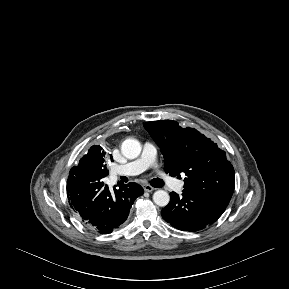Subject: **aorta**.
Returning <instances> with one entry per match:
<instances>
[{
	"label": "aorta",
	"mask_w": 289,
	"mask_h": 289,
	"mask_svg": "<svg viewBox=\"0 0 289 289\" xmlns=\"http://www.w3.org/2000/svg\"><path fill=\"white\" fill-rule=\"evenodd\" d=\"M121 151L126 158L134 159L141 153V144L135 139H126L122 143ZM153 201L156 205L165 207L170 201V196L164 190H157L153 194Z\"/></svg>",
	"instance_id": "aorta-1"
}]
</instances>
